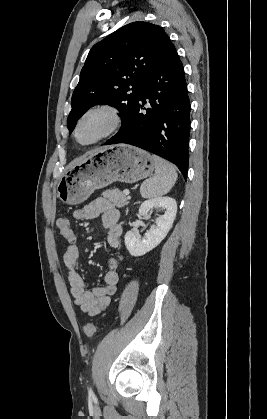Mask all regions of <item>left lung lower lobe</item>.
I'll use <instances>...</instances> for the list:
<instances>
[{"label": "left lung lower lobe", "mask_w": 267, "mask_h": 419, "mask_svg": "<svg viewBox=\"0 0 267 419\" xmlns=\"http://www.w3.org/2000/svg\"><path fill=\"white\" fill-rule=\"evenodd\" d=\"M145 83L121 129L105 144L126 143L152 152L174 163L186 179L190 100L184 68L172 43Z\"/></svg>", "instance_id": "left-lung-lower-lobe-1"}]
</instances>
